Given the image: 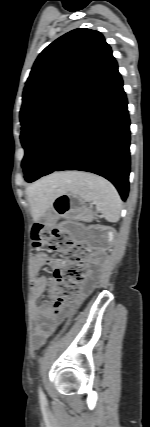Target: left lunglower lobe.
Listing matches in <instances>:
<instances>
[{
  "mask_svg": "<svg viewBox=\"0 0 150 427\" xmlns=\"http://www.w3.org/2000/svg\"><path fill=\"white\" fill-rule=\"evenodd\" d=\"M130 120L115 59L63 107L34 140L25 180L80 170L111 181L122 200L129 192Z\"/></svg>",
  "mask_w": 150,
  "mask_h": 427,
  "instance_id": "left-lung-lower-lobe-1",
  "label": "left lung lower lobe"
}]
</instances>
